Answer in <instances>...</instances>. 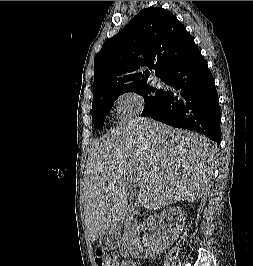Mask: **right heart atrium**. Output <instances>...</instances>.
Returning <instances> with one entry per match:
<instances>
[{"label": "right heart atrium", "instance_id": "d8ad5b80", "mask_svg": "<svg viewBox=\"0 0 253 266\" xmlns=\"http://www.w3.org/2000/svg\"><path fill=\"white\" fill-rule=\"evenodd\" d=\"M116 106L119 117L127 119L143 110L144 99L138 91L129 90L117 97Z\"/></svg>", "mask_w": 253, "mask_h": 266}]
</instances>
